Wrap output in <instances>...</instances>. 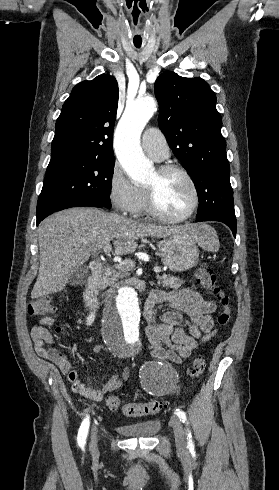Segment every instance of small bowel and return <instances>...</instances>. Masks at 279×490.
Returning a JSON list of instances; mask_svg holds the SVG:
<instances>
[{"instance_id": "obj_1", "label": "small bowel", "mask_w": 279, "mask_h": 490, "mask_svg": "<svg viewBox=\"0 0 279 490\" xmlns=\"http://www.w3.org/2000/svg\"><path fill=\"white\" fill-rule=\"evenodd\" d=\"M159 304L168 307L162 315L161 322L156 321L155 314V307ZM215 308L214 301L190 288L170 292L152 290L143 309V316L147 322L144 332L152 354L158 359L173 363H180L182 359L189 357L197 347L217 334L212 318ZM184 315L188 316V319H184ZM53 324V317H41L32 325L30 336L37 354L59 367L74 393L99 402L106 393L126 385L131 376V368L128 365L121 371L115 372L98 389L85 385L72 370L70 359L52 347L54 337L48 327ZM87 339L92 340L93 336H88ZM104 350L105 346L102 344L93 347L95 354H100ZM91 380L96 382L98 378L94 376Z\"/></svg>"}]
</instances>
